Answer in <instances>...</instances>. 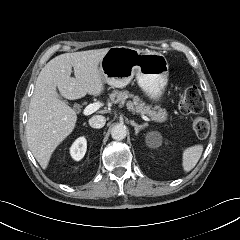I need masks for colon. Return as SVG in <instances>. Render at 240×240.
<instances>
[{
    "label": "colon",
    "mask_w": 240,
    "mask_h": 240,
    "mask_svg": "<svg viewBox=\"0 0 240 240\" xmlns=\"http://www.w3.org/2000/svg\"><path fill=\"white\" fill-rule=\"evenodd\" d=\"M182 112L198 114L203 109V98L199 89L195 86L185 88L179 100ZM192 128L198 137H205L209 132V122L206 118L195 115L191 120Z\"/></svg>",
    "instance_id": "1"
}]
</instances>
